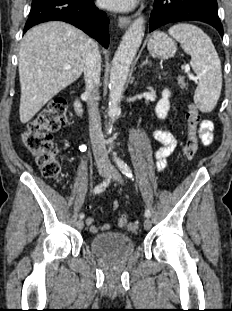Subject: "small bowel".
<instances>
[{"instance_id":"obj_1","label":"small bowel","mask_w":232,"mask_h":311,"mask_svg":"<svg viewBox=\"0 0 232 311\" xmlns=\"http://www.w3.org/2000/svg\"><path fill=\"white\" fill-rule=\"evenodd\" d=\"M213 123L210 120H204L200 128V139L203 144L210 145L213 142ZM153 138L161 143V147L158 148L154 156L156 158L157 168L159 170L163 169L167 164V158L174 152L177 146V141L174 135L162 128H155L152 131ZM113 207L117 208L118 203L114 202ZM86 224L90 227L92 233H99L101 231L108 230L110 228L109 224H103L100 226L93 224V219L91 217L86 218Z\"/></svg>"}]
</instances>
